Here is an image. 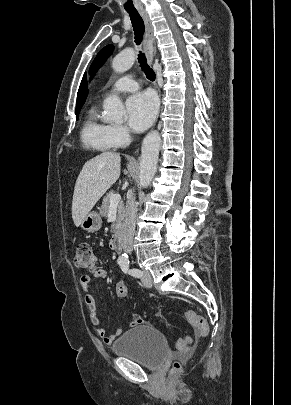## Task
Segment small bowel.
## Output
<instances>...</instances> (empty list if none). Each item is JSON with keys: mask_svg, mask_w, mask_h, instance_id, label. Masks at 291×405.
Listing matches in <instances>:
<instances>
[{"mask_svg": "<svg viewBox=\"0 0 291 405\" xmlns=\"http://www.w3.org/2000/svg\"><path fill=\"white\" fill-rule=\"evenodd\" d=\"M107 275H108L107 272L103 269L96 270L93 274L95 278L101 281L106 280ZM90 283L91 277L89 275L81 276L80 284L86 292L84 301L90 312L91 323L93 324V326L96 327V333L98 334V336L101 337L107 345H111L117 340L118 337H120L123 334V329H117L113 334L108 335L107 330L103 326H101V319L97 313L96 301L93 295L89 292ZM142 323H144L142 317L135 314L133 316V320L130 322V326L135 327Z\"/></svg>", "mask_w": 291, "mask_h": 405, "instance_id": "small-bowel-1", "label": "small bowel"}]
</instances>
